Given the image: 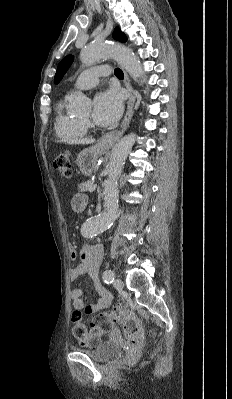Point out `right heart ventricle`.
<instances>
[{
  "label": "right heart ventricle",
  "instance_id": "1",
  "mask_svg": "<svg viewBox=\"0 0 232 399\" xmlns=\"http://www.w3.org/2000/svg\"><path fill=\"white\" fill-rule=\"evenodd\" d=\"M53 130L58 139L67 143H78L87 135L83 120L66 113L61 104L56 107Z\"/></svg>",
  "mask_w": 232,
  "mask_h": 399
}]
</instances>
